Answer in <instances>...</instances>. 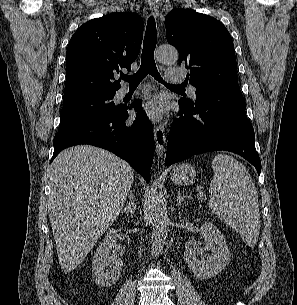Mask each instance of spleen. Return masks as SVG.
I'll return each mask as SVG.
<instances>
[{
  "instance_id": "obj_1",
  "label": "spleen",
  "mask_w": 297,
  "mask_h": 305,
  "mask_svg": "<svg viewBox=\"0 0 297 305\" xmlns=\"http://www.w3.org/2000/svg\"><path fill=\"white\" fill-rule=\"evenodd\" d=\"M212 168L209 208L237 231L248 246L253 247L259 236L260 211L249 172L243 164L226 154L216 155Z\"/></svg>"
}]
</instances>
